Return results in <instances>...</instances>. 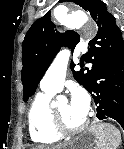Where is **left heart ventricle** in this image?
I'll return each mask as SVG.
<instances>
[{
    "instance_id": "b2bd125f",
    "label": "left heart ventricle",
    "mask_w": 124,
    "mask_h": 149,
    "mask_svg": "<svg viewBox=\"0 0 124 149\" xmlns=\"http://www.w3.org/2000/svg\"><path fill=\"white\" fill-rule=\"evenodd\" d=\"M56 108L62 116L65 124L69 127H77L86 119V117L74 112L71 109L70 103L67 101L59 103Z\"/></svg>"
}]
</instances>
